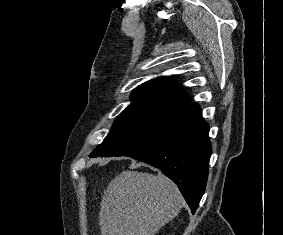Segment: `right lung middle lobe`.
<instances>
[{"label":"right lung middle lobe","instance_id":"1","mask_svg":"<svg viewBox=\"0 0 283 235\" xmlns=\"http://www.w3.org/2000/svg\"><path fill=\"white\" fill-rule=\"evenodd\" d=\"M189 105L172 102H132L115 120L91 157L122 156L145 147L170 131Z\"/></svg>","mask_w":283,"mask_h":235}]
</instances>
